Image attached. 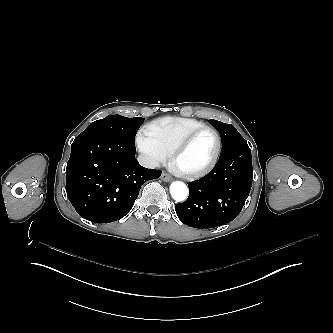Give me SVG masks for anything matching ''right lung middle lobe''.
<instances>
[{"label":"right lung middle lobe","instance_id":"right-lung-middle-lobe-1","mask_svg":"<svg viewBox=\"0 0 333 333\" xmlns=\"http://www.w3.org/2000/svg\"><path fill=\"white\" fill-rule=\"evenodd\" d=\"M144 118H127L121 115H109L91 123L80 135L101 132L135 145V136Z\"/></svg>","mask_w":333,"mask_h":333}]
</instances>
